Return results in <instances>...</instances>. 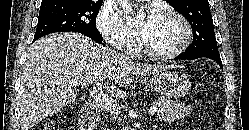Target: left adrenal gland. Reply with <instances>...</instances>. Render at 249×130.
I'll list each match as a JSON object with an SVG mask.
<instances>
[{
  "mask_svg": "<svg viewBox=\"0 0 249 130\" xmlns=\"http://www.w3.org/2000/svg\"><path fill=\"white\" fill-rule=\"evenodd\" d=\"M153 127H154V128H157V125L155 124Z\"/></svg>",
  "mask_w": 249,
  "mask_h": 130,
  "instance_id": "left-adrenal-gland-1",
  "label": "left adrenal gland"
}]
</instances>
